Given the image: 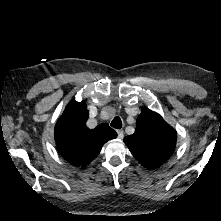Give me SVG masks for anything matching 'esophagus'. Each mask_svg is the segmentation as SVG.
<instances>
[{"label":"esophagus","instance_id":"1","mask_svg":"<svg viewBox=\"0 0 221 221\" xmlns=\"http://www.w3.org/2000/svg\"><path fill=\"white\" fill-rule=\"evenodd\" d=\"M118 138L122 139L124 137V131L123 130H117Z\"/></svg>","mask_w":221,"mask_h":221}]
</instances>
